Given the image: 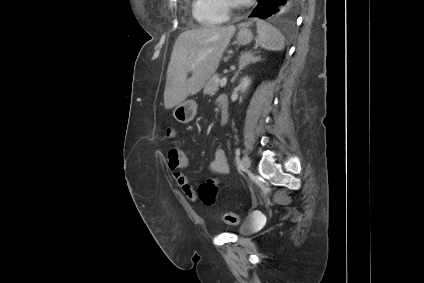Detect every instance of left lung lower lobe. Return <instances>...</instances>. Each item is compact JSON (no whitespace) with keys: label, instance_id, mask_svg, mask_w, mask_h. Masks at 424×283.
<instances>
[{"label":"left lung lower lobe","instance_id":"0a47b994","mask_svg":"<svg viewBox=\"0 0 424 283\" xmlns=\"http://www.w3.org/2000/svg\"><path fill=\"white\" fill-rule=\"evenodd\" d=\"M300 0H258V5L249 17L267 19L287 16L294 12Z\"/></svg>","mask_w":424,"mask_h":283}]
</instances>
